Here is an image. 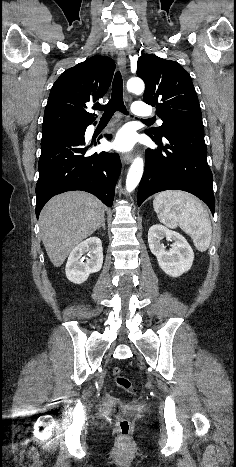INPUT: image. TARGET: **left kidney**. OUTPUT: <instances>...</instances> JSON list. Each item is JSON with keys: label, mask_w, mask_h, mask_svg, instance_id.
Here are the masks:
<instances>
[{"label": "left kidney", "mask_w": 236, "mask_h": 467, "mask_svg": "<svg viewBox=\"0 0 236 467\" xmlns=\"http://www.w3.org/2000/svg\"><path fill=\"white\" fill-rule=\"evenodd\" d=\"M166 238L174 241L166 250L161 240ZM149 248L157 257L160 268L171 277H179L190 270L193 264L194 252L187 240L178 232L156 224L148 231Z\"/></svg>", "instance_id": "5707ae66"}]
</instances>
